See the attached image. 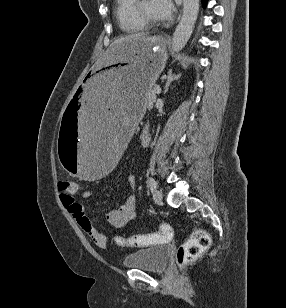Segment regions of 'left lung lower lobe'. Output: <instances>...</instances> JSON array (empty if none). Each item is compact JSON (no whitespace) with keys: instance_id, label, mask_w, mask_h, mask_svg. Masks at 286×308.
Returning a JSON list of instances; mask_svg holds the SVG:
<instances>
[{"instance_id":"1","label":"left lung lower lobe","mask_w":286,"mask_h":308,"mask_svg":"<svg viewBox=\"0 0 286 308\" xmlns=\"http://www.w3.org/2000/svg\"><path fill=\"white\" fill-rule=\"evenodd\" d=\"M202 2H203V5H205V3L207 2V0H202Z\"/></svg>"}]
</instances>
